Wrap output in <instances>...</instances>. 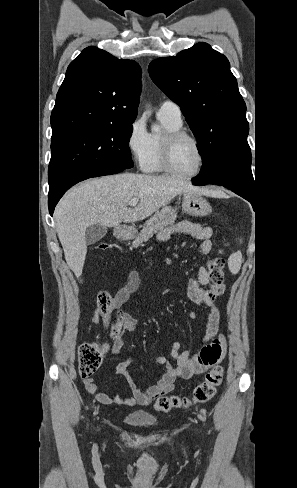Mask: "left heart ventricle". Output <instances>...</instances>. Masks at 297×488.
I'll return each mask as SVG.
<instances>
[{
    "instance_id": "1",
    "label": "left heart ventricle",
    "mask_w": 297,
    "mask_h": 488,
    "mask_svg": "<svg viewBox=\"0 0 297 488\" xmlns=\"http://www.w3.org/2000/svg\"><path fill=\"white\" fill-rule=\"evenodd\" d=\"M173 166L181 173L193 172L199 164V153L190 140H182L173 150Z\"/></svg>"
}]
</instances>
